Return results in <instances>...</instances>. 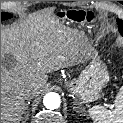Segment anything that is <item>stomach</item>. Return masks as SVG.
I'll return each instance as SVG.
<instances>
[{"instance_id": "1", "label": "stomach", "mask_w": 123, "mask_h": 123, "mask_svg": "<svg viewBox=\"0 0 123 123\" xmlns=\"http://www.w3.org/2000/svg\"><path fill=\"white\" fill-rule=\"evenodd\" d=\"M55 16L61 21L76 26H83L87 22V14L77 9L58 10ZM110 80L107 67L97 53L89 54V64L82 70L77 79L65 82L66 89L77 96L83 103H89L99 98L100 92Z\"/></svg>"}]
</instances>
